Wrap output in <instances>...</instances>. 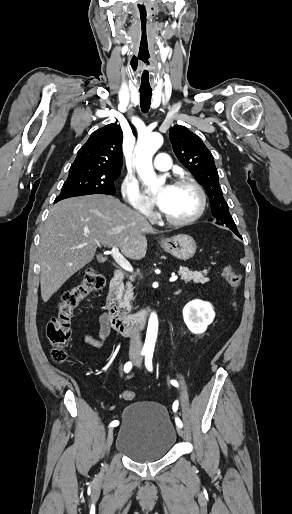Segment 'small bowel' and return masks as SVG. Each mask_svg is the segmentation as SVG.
<instances>
[{
  "mask_svg": "<svg viewBox=\"0 0 292 514\" xmlns=\"http://www.w3.org/2000/svg\"><path fill=\"white\" fill-rule=\"evenodd\" d=\"M110 335L111 326L107 320V313L104 312L99 317L98 337L84 335L81 338V342L94 348H102L104 347L105 342L110 337ZM99 404H102V401H99ZM109 404H113V401H109ZM114 404H117V401H114Z\"/></svg>",
  "mask_w": 292,
  "mask_h": 514,
  "instance_id": "1",
  "label": "small bowel"
}]
</instances>
